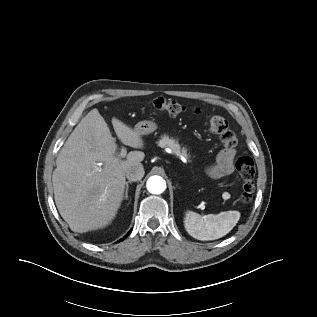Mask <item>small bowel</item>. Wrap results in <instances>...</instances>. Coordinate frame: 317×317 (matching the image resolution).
<instances>
[{"mask_svg": "<svg viewBox=\"0 0 317 317\" xmlns=\"http://www.w3.org/2000/svg\"><path fill=\"white\" fill-rule=\"evenodd\" d=\"M234 149H223L219 152L213 165L208 168V173L213 178H221L230 175L234 171Z\"/></svg>", "mask_w": 317, "mask_h": 317, "instance_id": "c3829d8e", "label": "small bowel"}]
</instances>
